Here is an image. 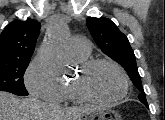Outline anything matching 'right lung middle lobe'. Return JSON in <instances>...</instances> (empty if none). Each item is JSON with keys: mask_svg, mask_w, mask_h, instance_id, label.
I'll use <instances>...</instances> for the list:
<instances>
[{"mask_svg": "<svg viewBox=\"0 0 165 120\" xmlns=\"http://www.w3.org/2000/svg\"><path fill=\"white\" fill-rule=\"evenodd\" d=\"M30 59H0V90L25 96L23 75Z\"/></svg>", "mask_w": 165, "mask_h": 120, "instance_id": "obj_1", "label": "right lung middle lobe"}]
</instances>
